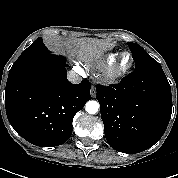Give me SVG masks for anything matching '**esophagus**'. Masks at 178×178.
<instances>
[{
    "mask_svg": "<svg viewBox=\"0 0 178 178\" xmlns=\"http://www.w3.org/2000/svg\"><path fill=\"white\" fill-rule=\"evenodd\" d=\"M90 94H91V96H92L93 98L96 97L97 91H96L95 86H92V87H91Z\"/></svg>",
    "mask_w": 178,
    "mask_h": 178,
    "instance_id": "1",
    "label": "esophagus"
}]
</instances>
